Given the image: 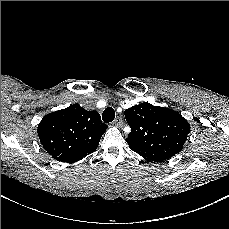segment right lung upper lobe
Listing matches in <instances>:
<instances>
[{
  "instance_id": "right-lung-upper-lobe-1",
  "label": "right lung upper lobe",
  "mask_w": 229,
  "mask_h": 229,
  "mask_svg": "<svg viewBox=\"0 0 229 229\" xmlns=\"http://www.w3.org/2000/svg\"><path fill=\"white\" fill-rule=\"evenodd\" d=\"M106 128L98 112L73 104L45 115L37 133L44 149L53 158L74 163L97 149Z\"/></svg>"
}]
</instances>
